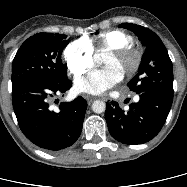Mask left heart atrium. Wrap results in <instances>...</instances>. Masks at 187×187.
I'll return each mask as SVG.
<instances>
[{
	"instance_id": "1",
	"label": "left heart atrium",
	"mask_w": 187,
	"mask_h": 187,
	"mask_svg": "<svg viewBox=\"0 0 187 187\" xmlns=\"http://www.w3.org/2000/svg\"><path fill=\"white\" fill-rule=\"evenodd\" d=\"M121 79L122 74L113 67L95 69L76 79L75 89L80 93L101 95Z\"/></svg>"
}]
</instances>
